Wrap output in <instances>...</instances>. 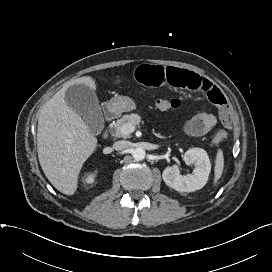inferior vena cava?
I'll return each mask as SVG.
<instances>
[{
	"label": "inferior vena cava",
	"mask_w": 272,
	"mask_h": 272,
	"mask_svg": "<svg viewBox=\"0 0 272 272\" xmlns=\"http://www.w3.org/2000/svg\"><path fill=\"white\" fill-rule=\"evenodd\" d=\"M131 146V143L129 141H117L113 144V149L116 151H123L128 149Z\"/></svg>",
	"instance_id": "602c4592"
}]
</instances>
